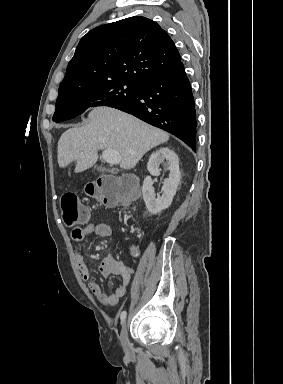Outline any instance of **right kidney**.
Returning <instances> with one entry per match:
<instances>
[{
	"mask_svg": "<svg viewBox=\"0 0 283 384\" xmlns=\"http://www.w3.org/2000/svg\"><path fill=\"white\" fill-rule=\"evenodd\" d=\"M159 164H164L170 174L169 178L164 180V186L161 190L162 196H157L156 198L151 176H160L161 170H159ZM147 170L151 176H147L143 182L142 194L144 202L150 214H159V212L171 206L181 180L178 156H176L175 152L170 150V148H159L157 152H154V154L150 156Z\"/></svg>",
	"mask_w": 283,
	"mask_h": 384,
	"instance_id": "1",
	"label": "right kidney"
}]
</instances>
